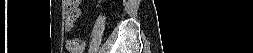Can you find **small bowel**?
<instances>
[{"instance_id":"1","label":"small bowel","mask_w":253,"mask_h":53,"mask_svg":"<svg viewBox=\"0 0 253 53\" xmlns=\"http://www.w3.org/2000/svg\"><path fill=\"white\" fill-rule=\"evenodd\" d=\"M65 29L67 32H70L73 29V22H71L68 18L65 22ZM65 47L72 53H82L84 50V41L80 38H71L66 40Z\"/></svg>"}]
</instances>
